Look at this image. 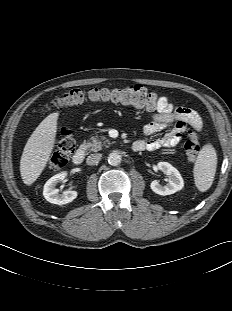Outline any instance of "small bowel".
<instances>
[{
	"label": "small bowel",
	"mask_w": 232,
	"mask_h": 311,
	"mask_svg": "<svg viewBox=\"0 0 232 311\" xmlns=\"http://www.w3.org/2000/svg\"><path fill=\"white\" fill-rule=\"evenodd\" d=\"M188 127L200 131L203 127L200 115L189 107L175 106L167 97L162 96L143 132L146 136H151L165 129L169 131L161 138L139 142L144 143L143 150L149 151L174 147L181 141Z\"/></svg>",
	"instance_id": "1"
}]
</instances>
